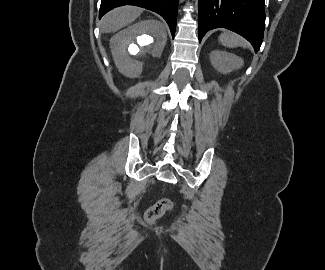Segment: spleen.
<instances>
[{"label": "spleen", "mask_w": 325, "mask_h": 270, "mask_svg": "<svg viewBox=\"0 0 325 270\" xmlns=\"http://www.w3.org/2000/svg\"><path fill=\"white\" fill-rule=\"evenodd\" d=\"M219 41L226 47H248L247 43L238 35L230 32H224L219 36Z\"/></svg>", "instance_id": "1"}]
</instances>
